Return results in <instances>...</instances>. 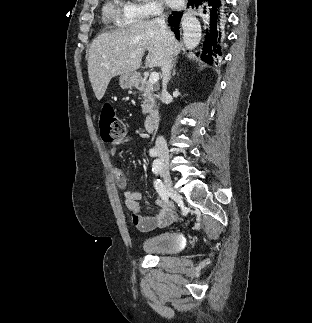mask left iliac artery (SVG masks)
<instances>
[{
	"instance_id": "obj_1",
	"label": "left iliac artery",
	"mask_w": 312,
	"mask_h": 323,
	"mask_svg": "<svg viewBox=\"0 0 312 323\" xmlns=\"http://www.w3.org/2000/svg\"><path fill=\"white\" fill-rule=\"evenodd\" d=\"M152 171L155 172V173H157L158 172V169L153 165Z\"/></svg>"
}]
</instances>
